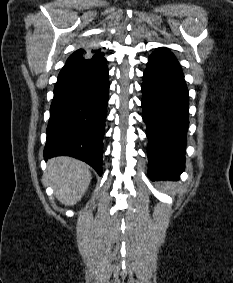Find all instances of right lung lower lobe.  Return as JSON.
<instances>
[{
    "instance_id": "98d812e1",
    "label": "right lung lower lobe",
    "mask_w": 233,
    "mask_h": 283,
    "mask_svg": "<svg viewBox=\"0 0 233 283\" xmlns=\"http://www.w3.org/2000/svg\"><path fill=\"white\" fill-rule=\"evenodd\" d=\"M108 71L105 58L67 62L62 68L50 107L46 160L71 156L102 174Z\"/></svg>"
}]
</instances>
